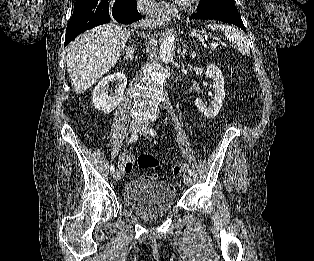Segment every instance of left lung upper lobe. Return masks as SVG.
<instances>
[{"label": "left lung upper lobe", "mask_w": 314, "mask_h": 261, "mask_svg": "<svg viewBox=\"0 0 314 261\" xmlns=\"http://www.w3.org/2000/svg\"><path fill=\"white\" fill-rule=\"evenodd\" d=\"M198 10L214 11L229 10L238 11L233 0H200Z\"/></svg>", "instance_id": "1"}]
</instances>
